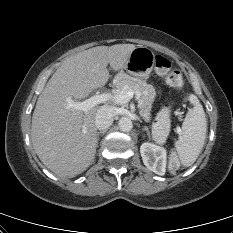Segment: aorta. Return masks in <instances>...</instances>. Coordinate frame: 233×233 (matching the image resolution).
Returning <instances> with one entry per match:
<instances>
[{"instance_id": "aorta-1", "label": "aorta", "mask_w": 233, "mask_h": 233, "mask_svg": "<svg viewBox=\"0 0 233 233\" xmlns=\"http://www.w3.org/2000/svg\"><path fill=\"white\" fill-rule=\"evenodd\" d=\"M119 129L123 132H128L133 128L132 121L129 117H122L118 122Z\"/></svg>"}]
</instances>
